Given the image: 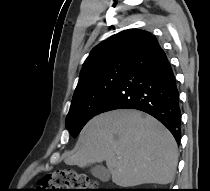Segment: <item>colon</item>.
Wrapping results in <instances>:
<instances>
[{"label":"colon","instance_id":"5ec220e1","mask_svg":"<svg viewBox=\"0 0 210 191\" xmlns=\"http://www.w3.org/2000/svg\"><path fill=\"white\" fill-rule=\"evenodd\" d=\"M39 184L47 191H104L86 174L76 170H60L44 175Z\"/></svg>","mask_w":210,"mask_h":191}]
</instances>
